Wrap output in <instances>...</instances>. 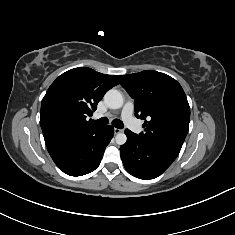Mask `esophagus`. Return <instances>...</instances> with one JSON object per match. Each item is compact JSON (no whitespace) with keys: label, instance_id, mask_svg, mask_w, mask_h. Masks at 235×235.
I'll list each match as a JSON object with an SVG mask.
<instances>
[{"label":"esophagus","instance_id":"34e87169","mask_svg":"<svg viewBox=\"0 0 235 235\" xmlns=\"http://www.w3.org/2000/svg\"><path fill=\"white\" fill-rule=\"evenodd\" d=\"M123 130L122 129H119V128H114V133L115 134H118L120 132H122Z\"/></svg>","mask_w":235,"mask_h":235}]
</instances>
